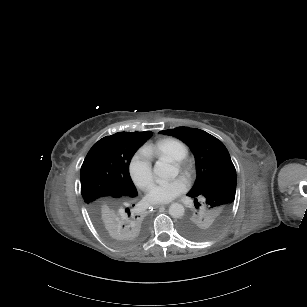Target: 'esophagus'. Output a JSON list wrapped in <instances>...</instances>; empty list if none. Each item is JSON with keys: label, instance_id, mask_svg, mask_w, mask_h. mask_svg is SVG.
I'll return each mask as SVG.
<instances>
[{"label": "esophagus", "instance_id": "1", "mask_svg": "<svg viewBox=\"0 0 307 307\" xmlns=\"http://www.w3.org/2000/svg\"><path fill=\"white\" fill-rule=\"evenodd\" d=\"M153 207H154V208H159V207H161V205L158 204V205H154Z\"/></svg>", "mask_w": 307, "mask_h": 307}]
</instances>
